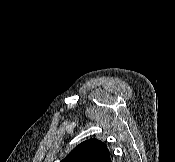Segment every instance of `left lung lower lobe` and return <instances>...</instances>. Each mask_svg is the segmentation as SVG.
Instances as JSON below:
<instances>
[{"instance_id":"left-lung-lower-lobe-1","label":"left lung lower lobe","mask_w":175,"mask_h":162,"mask_svg":"<svg viewBox=\"0 0 175 162\" xmlns=\"http://www.w3.org/2000/svg\"><path fill=\"white\" fill-rule=\"evenodd\" d=\"M106 162H111V159H110V157L108 158V160H107Z\"/></svg>"}]
</instances>
